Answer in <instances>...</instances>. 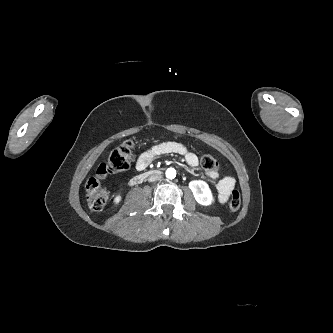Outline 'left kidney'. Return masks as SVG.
<instances>
[{
	"instance_id": "obj_1",
	"label": "left kidney",
	"mask_w": 333,
	"mask_h": 333,
	"mask_svg": "<svg viewBox=\"0 0 333 333\" xmlns=\"http://www.w3.org/2000/svg\"><path fill=\"white\" fill-rule=\"evenodd\" d=\"M189 188L199 204L208 206L213 202L211 190L206 182L202 180L191 181L189 183Z\"/></svg>"
}]
</instances>
